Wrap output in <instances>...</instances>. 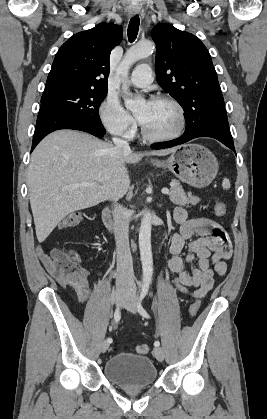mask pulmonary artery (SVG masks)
I'll return each mask as SVG.
<instances>
[{"instance_id":"e3ab8cb5","label":"pulmonary artery","mask_w":267,"mask_h":419,"mask_svg":"<svg viewBox=\"0 0 267 419\" xmlns=\"http://www.w3.org/2000/svg\"><path fill=\"white\" fill-rule=\"evenodd\" d=\"M152 80V70L147 64L137 66L130 77V83L136 87H146L152 82Z\"/></svg>"}]
</instances>
